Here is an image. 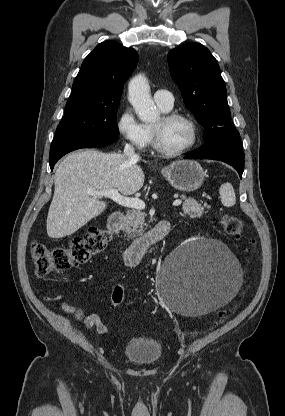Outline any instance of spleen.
Here are the masks:
<instances>
[{"instance_id": "spleen-1", "label": "spleen", "mask_w": 285, "mask_h": 416, "mask_svg": "<svg viewBox=\"0 0 285 416\" xmlns=\"http://www.w3.org/2000/svg\"><path fill=\"white\" fill-rule=\"evenodd\" d=\"M221 202L226 208H231L236 204V196L232 184H222L219 190Z\"/></svg>"}]
</instances>
